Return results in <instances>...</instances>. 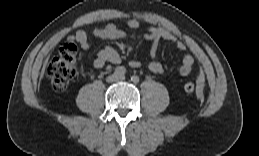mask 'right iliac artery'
<instances>
[{
  "mask_svg": "<svg viewBox=\"0 0 259 156\" xmlns=\"http://www.w3.org/2000/svg\"><path fill=\"white\" fill-rule=\"evenodd\" d=\"M114 73L118 76H124L126 73V69L123 66H118L115 68Z\"/></svg>",
  "mask_w": 259,
  "mask_h": 156,
  "instance_id": "1",
  "label": "right iliac artery"
}]
</instances>
